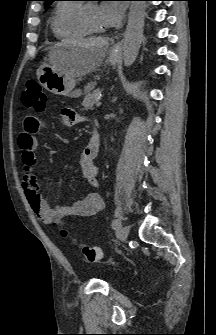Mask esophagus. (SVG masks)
<instances>
[{
	"label": "esophagus",
	"mask_w": 216,
	"mask_h": 335,
	"mask_svg": "<svg viewBox=\"0 0 216 335\" xmlns=\"http://www.w3.org/2000/svg\"><path fill=\"white\" fill-rule=\"evenodd\" d=\"M121 48V42H117L114 47H113V50L117 51V50H120Z\"/></svg>",
	"instance_id": "1"
}]
</instances>
